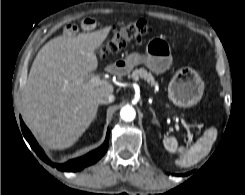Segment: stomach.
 Listing matches in <instances>:
<instances>
[{"label":"stomach","mask_w":245,"mask_h":195,"mask_svg":"<svg viewBox=\"0 0 245 195\" xmlns=\"http://www.w3.org/2000/svg\"><path fill=\"white\" fill-rule=\"evenodd\" d=\"M171 63L170 46L162 39H154L148 45L146 54L139 52L129 54L125 59L112 64L113 71L120 76L129 74L140 64H145L152 72L162 73ZM204 83L199 74L190 67L179 69L168 86V97L177 106L191 107L200 101Z\"/></svg>","instance_id":"obj_1"}]
</instances>
